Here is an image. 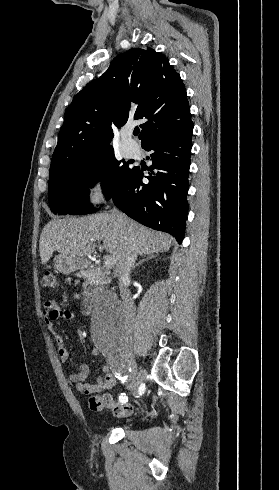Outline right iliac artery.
I'll use <instances>...</instances> for the list:
<instances>
[{
    "label": "right iliac artery",
    "instance_id": "obj_1",
    "mask_svg": "<svg viewBox=\"0 0 279 490\" xmlns=\"http://www.w3.org/2000/svg\"><path fill=\"white\" fill-rule=\"evenodd\" d=\"M109 358L111 359V360H110V363H111V364H115V363H116V359L118 358V355H117L115 352H112V353L109 355ZM121 365H122V366H124L123 364H121ZM116 377H117V378H119V379L122 381V383H124V382H125V380L127 379V376H123V377H121V376H120V374H117V376H116ZM119 400H120V402H124V403H125V402H127V401H128V397H127V396H125V393H121V396H119Z\"/></svg>",
    "mask_w": 279,
    "mask_h": 490
}]
</instances>
